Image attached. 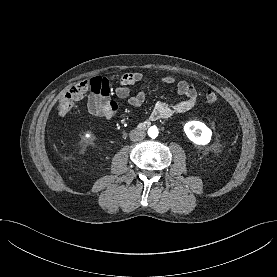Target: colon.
<instances>
[{
	"label": "colon",
	"mask_w": 277,
	"mask_h": 277,
	"mask_svg": "<svg viewBox=\"0 0 277 277\" xmlns=\"http://www.w3.org/2000/svg\"><path fill=\"white\" fill-rule=\"evenodd\" d=\"M88 82H81L72 86L58 101L57 110L60 115H67L76 108V101L80 100L88 91ZM205 100L208 104H215L218 95L213 90L205 92Z\"/></svg>",
	"instance_id": "5ec220e1"
}]
</instances>
